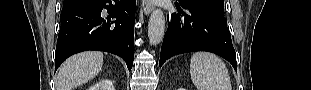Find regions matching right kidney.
I'll use <instances>...</instances> for the list:
<instances>
[{"instance_id": "1", "label": "right kidney", "mask_w": 311, "mask_h": 90, "mask_svg": "<svg viewBox=\"0 0 311 90\" xmlns=\"http://www.w3.org/2000/svg\"><path fill=\"white\" fill-rule=\"evenodd\" d=\"M89 90H114L111 80H102L89 88Z\"/></svg>"}]
</instances>
